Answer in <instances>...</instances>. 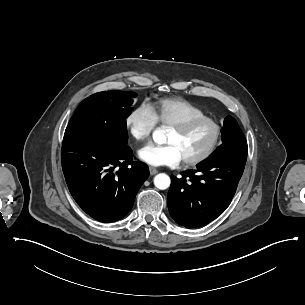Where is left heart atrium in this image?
<instances>
[{"label":"left heart atrium","instance_id":"left-heart-atrium-1","mask_svg":"<svg viewBox=\"0 0 305 305\" xmlns=\"http://www.w3.org/2000/svg\"><path fill=\"white\" fill-rule=\"evenodd\" d=\"M138 156L142 161L153 166L176 165L182 160L178 148L170 143L144 146L138 151Z\"/></svg>","mask_w":305,"mask_h":305}]
</instances>
